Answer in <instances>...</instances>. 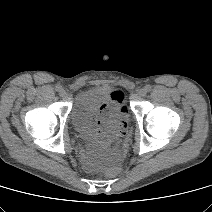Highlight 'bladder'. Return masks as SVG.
Masks as SVG:
<instances>
[{"label":"bladder","mask_w":212,"mask_h":212,"mask_svg":"<svg viewBox=\"0 0 212 212\" xmlns=\"http://www.w3.org/2000/svg\"><path fill=\"white\" fill-rule=\"evenodd\" d=\"M122 99L123 97H117L116 92L107 87H93L78 93L70 114L76 136L84 142L97 141L98 137L88 123L91 115L102 100H107L111 104L113 114L116 117L122 116L125 111Z\"/></svg>","instance_id":"1"}]
</instances>
